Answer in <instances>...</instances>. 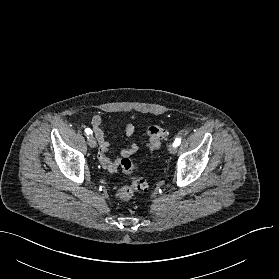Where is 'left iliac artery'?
Listing matches in <instances>:
<instances>
[{"label": "left iliac artery", "mask_w": 279, "mask_h": 279, "mask_svg": "<svg viewBox=\"0 0 279 279\" xmlns=\"http://www.w3.org/2000/svg\"><path fill=\"white\" fill-rule=\"evenodd\" d=\"M180 143H181V138H176L173 145L178 146V145H180Z\"/></svg>", "instance_id": "44dca946"}]
</instances>
